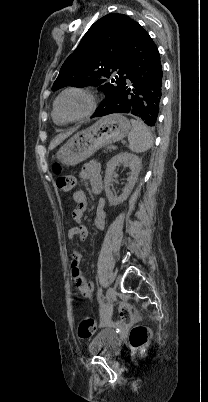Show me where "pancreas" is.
<instances>
[{
	"instance_id": "cf45deb5",
	"label": "pancreas",
	"mask_w": 208,
	"mask_h": 402,
	"mask_svg": "<svg viewBox=\"0 0 208 402\" xmlns=\"http://www.w3.org/2000/svg\"><path fill=\"white\" fill-rule=\"evenodd\" d=\"M107 150H110L111 152V150H113V146H107Z\"/></svg>"
}]
</instances>
